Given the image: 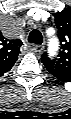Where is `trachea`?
<instances>
[{"mask_svg": "<svg viewBox=\"0 0 71 119\" xmlns=\"http://www.w3.org/2000/svg\"><path fill=\"white\" fill-rule=\"evenodd\" d=\"M28 41L34 44H41L43 41L41 32L36 29L32 30L28 36Z\"/></svg>", "mask_w": 71, "mask_h": 119, "instance_id": "3493384b", "label": "trachea"}]
</instances>
